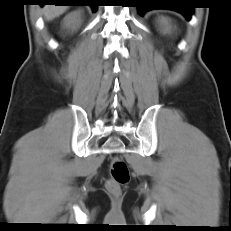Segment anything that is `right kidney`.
<instances>
[{"instance_id":"ca27d5eb","label":"right kidney","mask_w":231,"mask_h":231,"mask_svg":"<svg viewBox=\"0 0 231 231\" xmlns=\"http://www.w3.org/2000/svg\"><path fill=\"white\" fill-rule=\"evenodd\" d=\"M80 24L81 12L73 11L64 17L62 26L69 31H74L80 26Z\"/></svg>"}]
</instances>
